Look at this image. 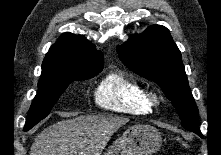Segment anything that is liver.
<instances>
[{
  "label": "liver",
  "mask_w": 221,
  "mask_h": 155,
  "mask_svg": "<svg viewBox=\"0 0 221 155\" xmlns=\"http://www.w3.org/2000/svg\"><path fill=\"white\" fill-rule=\"evenodd\" d=\"M128 122L112 115L58 121L36 136L30 155H101L113 133Z\"/></svg>",
  "instance_id": "obj_1"
}]
</instances>
